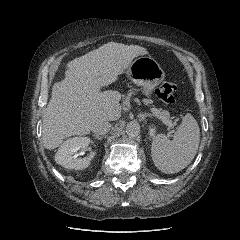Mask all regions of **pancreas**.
Instances as JSON below:
<instances>
[{
    "label": "pancreas",
    "mask_w": 240,
    "mask_h": 240,
    "mask_svg": "<svg viewBox=\"0 0 240 240\" xmlns=\"http://www.w3.org/2000/svg\"><path fill=\"white\" fill-rule=\"evenodd\" d=\"M134 94L133 90H130L129 92V96ZM155 109V108H154ZM157 111V115H155L156 117L160 118L161 120H167L170 121V114L167 110H162V109H155Z\"/></svg>",
    "instance_id": "1"
}]
</instances>
